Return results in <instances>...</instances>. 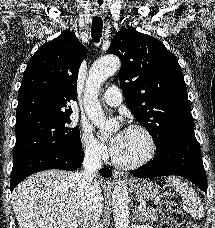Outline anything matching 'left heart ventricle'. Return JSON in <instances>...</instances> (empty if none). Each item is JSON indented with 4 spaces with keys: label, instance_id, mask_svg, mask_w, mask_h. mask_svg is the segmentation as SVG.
<instances>
[{
    "label": "left heart ventricle",
    "instance_id": "1",
    "mask_svg": "<svg viewBox=\"0 0 215 228\" xmlns=\"http://www.w3.org/2000/svg\"><path fill=\"white\" fill-rule=\"evenodd\" d=\"M146 149V142L141 132L128 130L122 149L114 156L121 161H133L139 158Z\"/></svg>",
    "mask_w": 215,
    "mask_h": 228
}]
</instances>
